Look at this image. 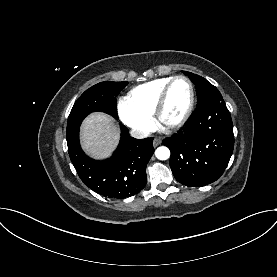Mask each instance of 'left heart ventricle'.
Wrapping results in <instances>:
<instances>
[{
  "label": "left heart ventricle",
  "instance_id": "1",
  "mask_svg": "<svg viewBox=\"0 0 277 277\" xmlns=\"http://www.w3.org/2000/svg\"><path fill=\"white\" fill-rule=\"evenodd\" d=\"M190 99V89L183 80H178L170 89L162 119L165 123L178 120L185 112Z\"/></svg>",
  "mask_w": 277,
  "mask_h": 277
}]
</instances>
